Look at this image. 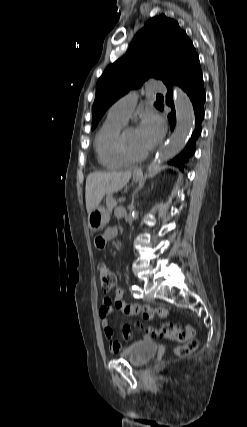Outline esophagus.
<instances>
[{"label": "esophagus", "mask_w": 247, "mask_h": 427, "mask_svg": "<svg viewBox=\"0 0 247 427\" xmlns=\"http://www.w3.org/2000/svg\"><path fill=\"white\" fill-rule=\"evenodd\" d=\"M134 173H135V174H142V169H141V168H136V169L134 170Z\"/></svg>", "instance_id": "obj_1"}]
</instances>
